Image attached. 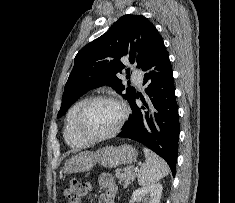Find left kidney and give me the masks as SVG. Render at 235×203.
Returning a JSON list of instances; mask_svg holds the SVG:
<instances>
[{"instance_id": "1", "label": "left kidney", "mask_w": 235, "mask_h": 203, "mask_svg": "<svg viewBox=\"0 0 235 203\" xmlns=\"http://www.w3.org/2000/svg\"><path fill=\"white\" fill-rule=\"evenodd\" d=\"M163 187L161 184H151L142 188L136 189L132 194V202L143 203H160Z\"/></svg>"}]
</instances>
